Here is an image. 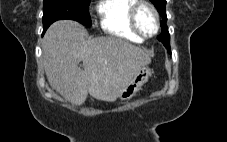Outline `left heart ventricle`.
Masks as SVG:
<instances>
[{
	"label": "left heart ventricle",
	"instance_id": "1",
	"mask_svg": "<svg viewBox=\"0 0 227 142\" xmlns=\"http://www.w3.org/2000/svg\"><path fill=\"white\" fill-rule=\"evenodd\" d=\"M138 23L141 30L146 34L155 31V19L153 13L148 8H142L138 14Z\"/></svg>",
	"mask_w": 227,
	"mask_h": 142
}]
</instances>
